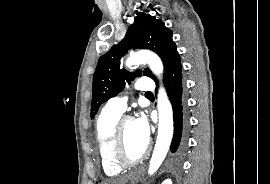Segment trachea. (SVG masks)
Masks as SVG:
<instances>
[{
  "label": "trachea",
  "instance_id": "trachea-1",
  "mask_svg": "<svg viewBox=\"0 0 270 184\" xmlns=\"http://www.w3.org/2000/svg\"><path fill=\"white\" fill-rule=\"evenodd\" d=\"M149 95H152V93H150V92L149 93H146V96H149Z\"/></svg>",
  "mask_w": 270,
  "mask_h": 184
}]
</instances>
